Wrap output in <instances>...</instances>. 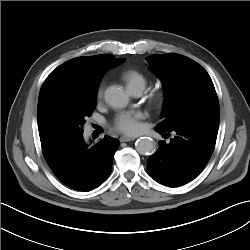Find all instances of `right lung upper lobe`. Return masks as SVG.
I'll return each mask as SVG.
<instances>
[{
  "mask_svg": "<svg viewBox=\"0 0 250 250\" xmlns=\"http://www.w3.org/2000/svg\"><path fill=\"white\" fill-rule=\"evenodd\" d=\"M125 58L108 54L71 59L53 70L42 85L37 118L40 140L52 116L72 98L97 92L103 75Z\"/></svg>",
  "mask_w": 250,
  "mask_h": 250,
  "instance_id": "1",
  "label": "right lung upper lobe"
}]
</instances>
